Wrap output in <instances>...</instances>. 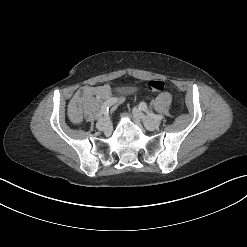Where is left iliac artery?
Wrapping results in <instances>:
<instances>
[{
	"label": "left iliac artery",
	"instance_id": "1",
	"mask_svg": "<svg viewBox=\"0 0 247 247\" xmlns=\"http://www.w3.org/2000/svg\"><path fill=\"white\" fill-rule=\"evenodd\" d=\"M139 108L142 109L143 111H145L149 116H151V117H153L155 119L161 120L163 118L162 115H155L151 111H149V109H148V107H147L145 102H141L139 104Z\"/></svg>",
	"mask_w": 247,
	"mask_h": 247
}]
</instances>
